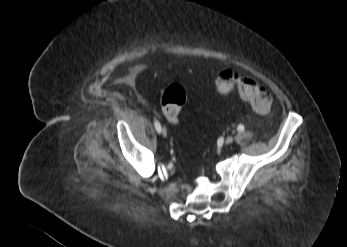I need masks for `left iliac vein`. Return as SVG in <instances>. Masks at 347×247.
Listing matches in <instances>:
<instances>
[{"instance_id":"1","label":"left iliac vein","mask_w":347,"mask_h":247,"mask_svg":"<svg viewBox=\"0 0 347 247\" xmlns=\"http://www.w3.org/2000/svg\"><path fill=\"white\" fill-rule=\"evenodd\" d=\"M233 137L232 136H228L226 139H225V143L226 144H231L233 142Z\"/></svg>"}]
</instances>
